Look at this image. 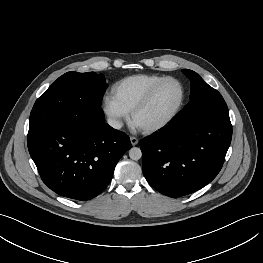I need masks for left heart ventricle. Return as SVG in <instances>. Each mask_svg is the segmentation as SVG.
I'll list each match as a JSON object with an SVG mask.
<instances>
[{
  "instance_id": "1",
  "label": "left heart ventricle",
  "mask_w": 263,
  "mask_h": 263,
  "mask_svg": "<svg viewBox=\"0 0 263 263\" xmlns=\"http://www.w3.org/2000/svg\"><path fill=\"white\" fill-rule=\"evenodd\" d=\"M181 97L180 85L172 80L166 81L156 91L149 105L136 115L134 123L138 127H145L162 121L174 112Z\"/></svg>"
}]
</instances>
